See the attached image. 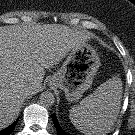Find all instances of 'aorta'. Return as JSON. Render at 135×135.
Returning <instances> with one entry per match:
<instances>
[{
  "instance_id": "aorta-1",
  "label": "aorta",
  "mask_w": 135,
  "mask_h": 135,
  "mask_svg": "<svg viewBox=\"0 0 135 135\" xmlns=\"http://www.w3.org/2000/svg\"><path fill=\"white\" fill-rule=\"evenodd\" d=\"M39 101L42 106L50 107L55 102L54 94L49 91H45V92L41 93V95L39 97Z\"/></svg>"
}]
</instances>
